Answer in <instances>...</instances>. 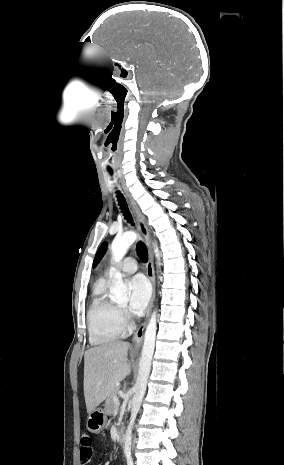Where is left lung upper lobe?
<instances>
[{
  "label": "left lung upper lobe",
  "instance_id": "1",
  "mask_svg": "<svg viewBox=\"0 0 284 465\" xmlns=\"http://www.w3.org/2000/svg\"><path fill=\"white\" fill-rule=\"evenodd\" d=\"M106 248H107V243L104 242L100 246V248H99V250H98V252H97V254H96L95 258H94L93 267H95L99 263V261L101 260V258L103 257V255L106 252Z\"/></svg>",
  "mask_w": 284,
  "mask_h": 465
}]
</instances>
